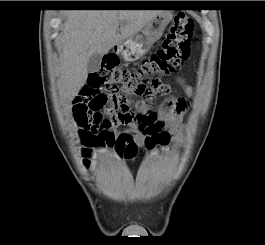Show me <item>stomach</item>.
Masks as SVG:
<instances>
[{
    "label": "stomach",
    "instance_id": "0dacf381",
    "mask_svg": "<svg viewBox=\"0 0 265 245\" xmlns=\"http://www.w3.org/2000/svg\"><path fill=\"white\" fill-rule=\"evenodd\" d=\"M171 19L170 11H161L138 33L117 44V54L126 62H134L144 57L152 45L161 38Z\"/></svg>",
    "mask_w": 265,
    "mask_h": 245
}]
</instances>
